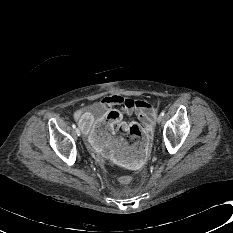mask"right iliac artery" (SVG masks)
I'll use <instances>...</instances> for the list:
<instances>
[{"label": "right iliac artery", "mask_w": 233, "mask_h": 233, "mask_svg": "<svg viewBox=\"0 0 233 233\" xmlns=\"http://www.w3.org/2000/svg\"><path fill=\"white\" fill-rule=\"evenodd\" d=\"M72 127L75 129V128H76V125H75V124H72Z\"/></svg>", "instance_id": "obj_1"}]
</instances>
